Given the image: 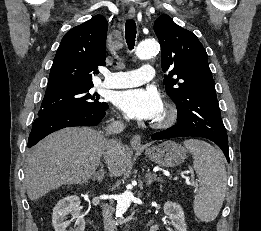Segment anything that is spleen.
Here are the masks:
<instances>
[{"mask_svg": "<svg viewBox=\"0 0 261 231\" xmlns=\"http://www.w3.org/2000/svg\"><path fill=\"white\" fill-rule=\"evenodd\" d=\"M184 146L193 156L194 170L199 177L193 205L195 215L201 221H213L222 207L227 188L223 155L203 140H185Z\"/></svg>", "mask_w": 261, "mask_h": 231, "instance_id": "spleen-1", "label": "spleen"}]
</instances>
